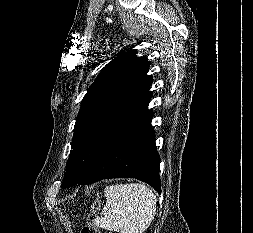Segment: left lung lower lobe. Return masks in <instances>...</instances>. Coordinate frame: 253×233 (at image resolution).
I'll use <instances>...</instances> for the list:
<instances>
[{"label":"left lung lower lobe","mask_w":253,"mask_h":233,"mask_svg":"<svg viewBox=\"0 0 253 233\" xmlns=\"http://www.w3.org/2000/svg\"><path fill=\"white\" fill-rule=\"evenodd\" d=\"M151 97L148 91L117 125L90 170L76 184H91L110 178H136L161 193L160 157L151 127L153 111L147 108Z\"/></svg>","instance_id":"left-lung-lower-lobe-1"}]
</instances>
